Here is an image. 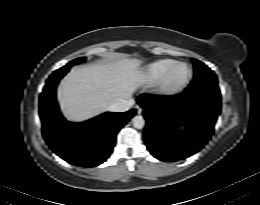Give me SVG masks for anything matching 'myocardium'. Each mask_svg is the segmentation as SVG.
Segmentation results:
<instances>
[{
  "mask_svg": "<svg viewBox=\"0 0 260 205\" xmlns=\"http://www.w3.org/2000/svg\"><path fill=\"white\" fill-rule=\"evenodd\" d=\"M178 66H186L188 69V76L184 82L178 85H170L169 77L173 70ZM193 78V70L192 67L185 62H176L170 68H168L165 73L160 77V79L156 82L154 91L157 97L162 99H170L179 94H181L191 83Z\"/></svg>",
  "mask_w": 260,
  "mask_h": 205,
  "instance_id": "obj_1",
  "label": "myocardium"
}]
</instances>
